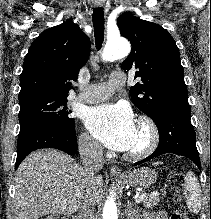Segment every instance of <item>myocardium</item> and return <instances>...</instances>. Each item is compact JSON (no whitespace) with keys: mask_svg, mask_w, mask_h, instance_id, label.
<instances>
[{"mask_svg":"<svg viewBox=\"0 0 211 219\" xmlns=\"http://www.w3.org/2000/svg\"><path fill=\"white\" fill-rule=\"evenodd\" d=\"M138 127L144 132L146 139L141 147L125 154V158L131 161H138L148 157L156 150L159 144V129L150 117L142 116L139 119Z\"/></svg>","mask_w":211,"mask_h":219,"instance_id":"f54148a6","label":"myocardium"}]
</instances>
